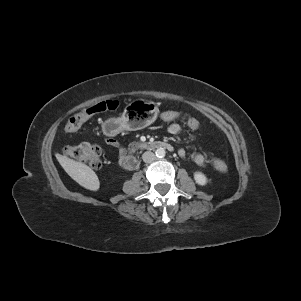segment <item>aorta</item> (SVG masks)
<instances>
[{"instance_id": "762f6f07", "label": "aorta", "mask_w": 301, "mask_h": 301, "mask_svg": "<svg viewBox=\"0 0 301 301\" xmlns=\"http://www.w3.org/2000/svg\"><path fill=\"white\" fill-rule=\"evenodd\" d=\"M165 154H166L165 149L161 148V147L156 149V151H155V155L157 158H163L165 156Z\"/></svg>"}]
</instances>
